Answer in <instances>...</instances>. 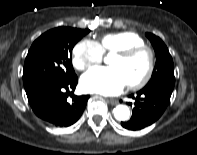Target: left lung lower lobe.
<instances>
[{"label":"left lung lower lobe","mask_w":197,"mask_h":155,"mask_svg":"<svg viewBox=\"0 0 197 155\" xmlns=\"http://www.w3.org/2000/svg\"><path fill=\"white\" fill-rule=\"evenodd\" d=\"M131 97V96H130ZM171 93L161 89H142L137 92L132 117L121 125L129 130H140L154 123L166 109Z\"/></svg>","instance_id":"obj_1"}]
</instances>
